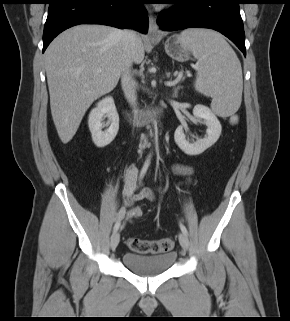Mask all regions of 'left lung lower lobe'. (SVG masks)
I'll return each mask as SVG.
<instances>
[{
	"label": "left lung lower lobe",
	"instance_id": "obj_1",
	"mask_svg": "<svg viewBox=\"0 0 290 321\" xmlns=\"http://www.w3.org/2000/svg\"><path fill=\"white\" fill-rule=\"evenodd\" d=\"M171 4L177 6L158 17L161 30L210 28L228 37L246 56L241 0H172Z\"/></svg>",
	"mask_w": 290,
	"mask_h": 321
}]
</instances>
